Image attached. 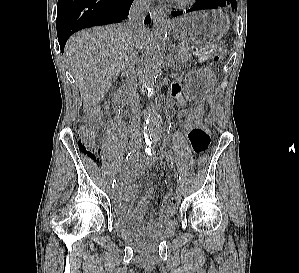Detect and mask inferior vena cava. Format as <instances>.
<instances>
[{
  "label": "inferior vena cava",
  "instance_id": "obj_1",
  "mask_svg": "<svg viewBox=\"0 0 299 273\" xmlns=\"http://www.w3.org/2000/svg\"><path fill=\"white\" fill-rule=\"evenodd\" d=\"M149 9V0H134L130 11L129 21L127 23L131 30V35L141 31L143 29V20ZM138 49L134 44L130 46L129 52V63L126 66L127 74L129 76L128 90L131 92L130 101L132 113H139V97L135 92L136 81H135V60L137 59ZM135 130H138V126H135Z\"/></svg>",
  "mask_w": 299,
  "mask_h": 273
}]
</instances>
